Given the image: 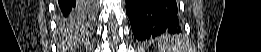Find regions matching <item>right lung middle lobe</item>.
I'll return each mask as SVG.
<instances>
[{
  "label": "right lung middle lobe",
  "instance_id": "obj_1",
  "mask_svg": "<svg viewBox=\"0 0 261 52\" xmlns=\"http://www.w3.org/2000/svg\"><path fill=\"white\" fill-rule=\"evenodd\" d=\"M79 3L83 7V9L74 18H72V19H68V18L62 19L61 20L62 22H64V23H69V22H74V21L75 22H78V21L80 22L82 20L81 15L83 14L84 11H86V10H93L94 9L93 1L79 2ZM88 5H91V7L88 6Z\"/></svg>",
  "mask_w": 261,
  "mask_h": 52
}]
</instances>
